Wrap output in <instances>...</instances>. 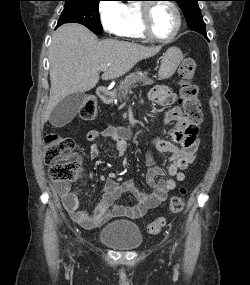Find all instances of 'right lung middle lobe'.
<instances>
[{"label": "right lung middle lobe", "mask_w": 250, "mask_h": 285, "mask_svg": "<svg viewBox=\"0 0 250 285\" xmlns=\"http://www.w3.org/2000/svg\"><path fill=\"white\" fill-rule=\"evenodd\" d=\"M65 7L57 26L75 22L88 27L95 34L102 33L98 6L101 0H64Z\"/></svg>", "instance_id": "1"}]
</instances>
